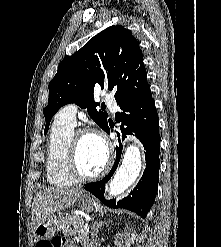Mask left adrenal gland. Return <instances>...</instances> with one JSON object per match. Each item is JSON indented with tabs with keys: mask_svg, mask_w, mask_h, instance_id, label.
Here are the masks:
<instances>
[{
	"mask_svg": "<svg viewBox=\"0 0 221 247\" xmlns=\"http://www.w3.org/2000/svg\"><path fill=\"white\" fill-rule=\"evenodd\" d=\"M104 224H107V222L105 221H101V222H98V221H95L92 225V228H91V238L93 239L95 236H97L98 232H99V228L101 226H103Z\"/></svg>",
	"mask_w": 221,
	"mask_h": 247,
	"instance_id": "1",
	"label": "left adrenal gland"
}]
</instances>
